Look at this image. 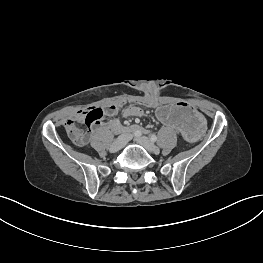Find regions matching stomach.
<instances>
[{
    "label": "stomach",
    "mask_w": 263,
    "mask_h": 263,
    "mask_svg": "<svg viewBox=\"0 0 263 263\" xmlns=\"http://www.w3.org/2000/svg\"><path fill=\"white\" fill-rule=\"evenodd\" d=\"M155 120L170 130H176L189 144L197 143L206 131L204 118L184 103H163L154 112Z\"/></svg>",
    "instance_id": "1"
}]
</instances>
